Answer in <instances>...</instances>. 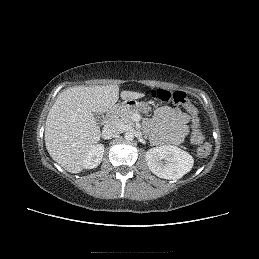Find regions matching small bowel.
<instances>
[{"label":"small bowel","instance_id":"obj_1","mask_svg":"<svg viewBox=\"0 0 259 259\" xmlns=\"http://www.w3.org/2000/svg\"><path fill=\"white\" fill-rule=\"evenodd\" d=\"M189 124L188 112L168 106L158 108L152 121L148 123L154 128V140L157 143L171 144L180 143L188 135Z\"/></svg>","mask_w":259,"mask_h":259}]
</instances>
